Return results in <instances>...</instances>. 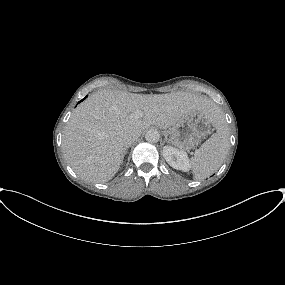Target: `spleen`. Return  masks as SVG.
<instances>
[{
    "label": "spleen",
    "mask_w": 285,
    "mask_h": 285,
    "mask_svg": "<svg viewBox=\"0 0 285 285\" xmlns=\"http://www.w3.org/2000/svg\"><path fill=\"white\" fill-rule=\"evenodd\" d=\"M213 125L216 132L202 144L190 161V168L196 180L212 175L221 166L230 147L228 125L219 110Z\"/></svg>",
    "instance_id": "obj_1"
}]
</instances>
